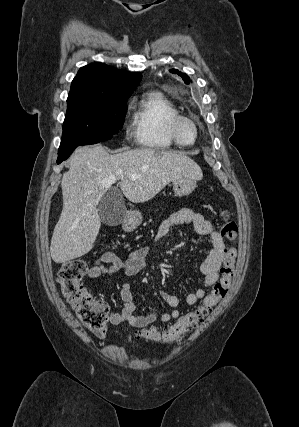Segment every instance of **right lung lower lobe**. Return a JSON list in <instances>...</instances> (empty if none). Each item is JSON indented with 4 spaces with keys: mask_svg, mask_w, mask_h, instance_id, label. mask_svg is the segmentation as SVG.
<instances>
[{
    "mask_svg": "<svg viewBox=\"0 0 299 427\" xmlns=\"http://www.w3.org/2000/svg\"><path fill=\"white\" fill-rule=\"evenodd\" d=\"M75 148L76 147H73V148L68 149L66 151L58 152L57 164H60L62 161L66 160Z\"/></svg>",
    "mask_w": 299,
    "mask_h": 427,
    "instance_id": "1",
    "label": "right lung lower lobe"
}]
</instances>
